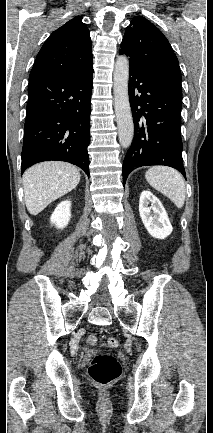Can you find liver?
I'll list each match as a JSON object with an SVG mask.
<instances>
[{
    "instance_id": "6515ba94",
    "label": "liver",
    "mask_w": 213,
    "mask_h": 433,
    "mask_svg": "<svg viewBox=\"0 0 213 433\" xmlns=\"http://www.w3.org/2000/svg\"><path fill=\"white\" fill-rule=\"evenodd\" d=\"M22 181L27 210L31 215H37L72 191L80 181V172L69 163L48 161L27 169Z\"/></svg>"
}]
</instances>
